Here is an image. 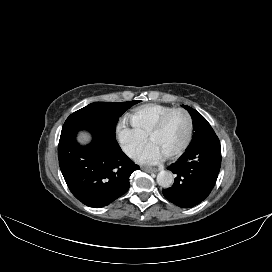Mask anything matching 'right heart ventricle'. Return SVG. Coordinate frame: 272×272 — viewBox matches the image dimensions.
I'll use <instances>...</instances> for the list:
<instances>
[{
  "mask_svg": "<svg viewBox=\"0 0 272 272\" xmlns=\"http://www.w3.org/2000/svg\"><path fill=\"white\" fill-rule=\"evenodd\" d=\"M173 107L162 104H146L133 109L127 116L132 127L148 135L157 120Z\"/></svg>",
  "mask_w": 272,
  "mask_h": 272,
  "instance_id": "1",
  "label": "right heart ventricle"
}]
</instances>
